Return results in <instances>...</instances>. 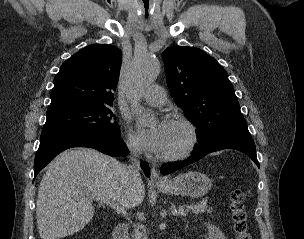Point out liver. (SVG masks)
I'll return each mask as SVG.
<instances>
[{
  "mask_svg": "<svg viewBox=\"0 0 304 239\" xmlns=\"http://www.w3.org/2000/svg\"><path fill=\"white\" fill-rule=\"evenodd\" d=\"M126 166L89 148L70 149L55 158L41 180L36 218L41 239H60L82 230L94 216L96 197L129 209L145 197L139 182L129 184Z\"/></svg>",
  "mask_w": 304,
  "mask_h": 239,
  "instance_id": "obj_1",
  "label": "liver"
}]
</instances>
